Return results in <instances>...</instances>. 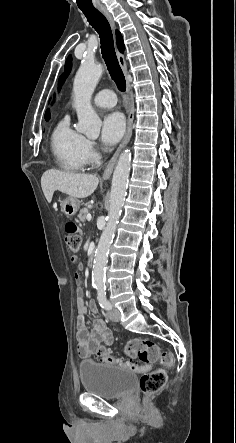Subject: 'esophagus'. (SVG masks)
<instances>
[{
  "label": "esophagus",
  "mask_w": 236,
  "mask_h": 443,
  "mask_svg": "<svg viewBox=\"0 0 236 443\" xmlns=\"http://www.w3.org/2000/svg\"><path fill=\"white\" fill-rule=\"evenodd\" d=\"M99 11L106 17V19L108 20V22L110 23L112 29H115V23L113 20L112 15L110 14V12L104 7L101 6L98 8ZM117 58L119 61V64L122 68V70L127 73V65H126V61L124 58V55L122 53H120L119 51H117ZM128 90L130 91V87L128 85ZM133 119H134V106L131 107L130 112L128 114V119H127V131L126 134L123 138V141L121 142V144L119 145V147L117 148L116 152L114 153V155L112 156V158L110 159V161L108 162L104 173H103V179L107 180L110 178L112 171L114 169V166L116 164L117 158L121 152V150L127 145V143L129 142L131 136H132V124H133Z\"/></svg>",
  "instance_id": "1"
}]
</instances>
